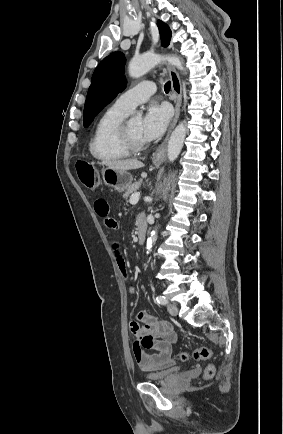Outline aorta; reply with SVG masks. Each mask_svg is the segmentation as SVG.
Returning <instances> with one entry per match:
<instances>
[{
  "label": "aorta",
  "mask_w": 283,
  "mask_h": 434,
  "mask_svg": "<svg viewBox=\"0 0 283 434\" xmlns=\"http://www.w3.org/2000/svg\"><path fill=\"white\" fill-rule=\"evenodd\" d=\"M163 61H168L172 65L176 66L179 70H184L182 62L177 57H162L160 55L147 53L140 57H135L130 61L128 66L129 75L132 78H139ZM137 117L141 118V113H137ZM185 137L186 126L184 122H181L174 129L168 141L167 156L170 162H173L180 154ZM156 240L157 228L152 230L150 237L147 239V252L151 251L152 246L156 242Z\"/></svg>",
  "instance_id": "1"
}]
</instances>
